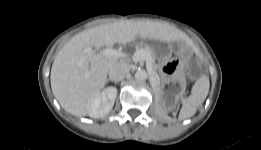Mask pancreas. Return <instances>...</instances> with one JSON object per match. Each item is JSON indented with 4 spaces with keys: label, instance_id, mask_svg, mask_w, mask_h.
Masks as SVG:
<instances>
[{
    "label": "pancreas",
    "instance_id": "cf45deb5",
    "mask_svg": "<svg viewBox=\"0 0 261 150\" xmlns=\"http://www.w3.org/2000/svg\"><path fill=\"white\" fill-rule=\"evenodd\" d=\"M144 50L147 51L148 55H149V58L150 60L148 61L149 65H150V68H151V71H152V76L157 80V81H160V78L158 76V70H159V65H157L156 61H155V58L153 57V52H152V49L148 46H145L144 48H142Z\"/></svg>",
    "mask_w": 261,
    "mask_h": 150
}]
</instances>
